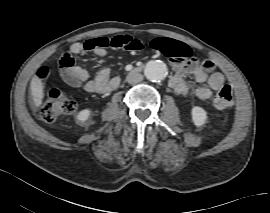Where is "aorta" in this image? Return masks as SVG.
<instances>
[{
    "label": "aorta",
    "mask_w": 270,
    "mask_h": 213,
    "mask_svg": "<svg viewBox=\"0 0 270 213\" xmlns=\"http://www.w3.org/2000/svg\"><path fill=\"white\" fill-rule=\"evenodd\" d=\"M145 76L151 82H161L167 75V69L161 61H151L145 67Z\"/></svg>",
    "instance_id": "obj_1"
}]
</instances>
